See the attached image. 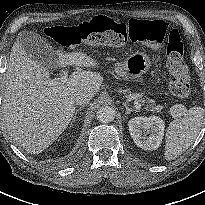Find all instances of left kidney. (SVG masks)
<instances>
[{"instance_id": "5707ae66", "label": "left kidney", "mask_w": 205, "mask_h": 205, "mask_svg": "<svg viewBox=\"0 0 205 205\" xmlns=\"http://www.w3.org/2000/svg\"><path fill=\"white\" fill-rule=\"evenodd\" d=\"M134 143L144 150H156L162 143L165 122L160 117H134L128 122ZM147 134H150L148 137Z\"/></svg>"}]
</instances>
